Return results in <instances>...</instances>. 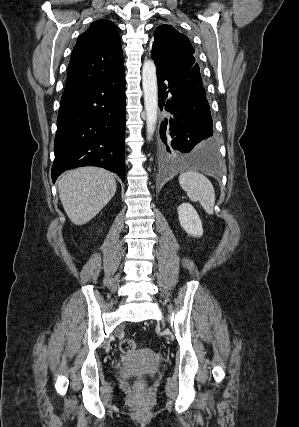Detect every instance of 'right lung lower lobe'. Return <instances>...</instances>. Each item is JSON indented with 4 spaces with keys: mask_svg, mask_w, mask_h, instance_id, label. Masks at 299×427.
<instances>
[{
    "mask_svg": "<svg viewBox=\"0 0 299 427\" xmlns=\"http://www.w3.org/2000/svg\"><path fill=\"white\" fill-rule=\"evenodd\" d=\"M124 70L105 81L64 92L61 98L52 180L65 170L99 166L125 180Z\"/></svg>",
    "mask_w": 299,
    "mask_h": 427,
    "instance_id": "1",
    "label": "right lung lower lobe"
}]
</instances>
